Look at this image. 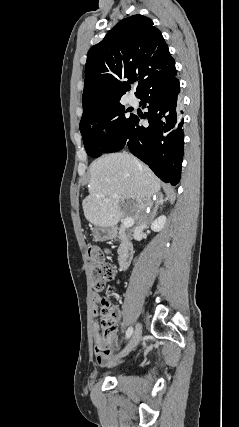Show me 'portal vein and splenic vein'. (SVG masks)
<instances>
[{
  "label": "portal vein and splenic vein",
  "mask_w": 239,
  "mask_h": 427,
  "mask_svg": "<svg viewBox=\"0 0 239 427\" xmlns=\"http://www.w3.org/2000/svg\"><path fill=\"white\" fill-rule=\"evenodd\" d=\"M133 223H134V220L132 218H125L124 221H123V225L125 227L132 226Z\"/></svg>",
  "instance_id": "1"
}]
</instances>
